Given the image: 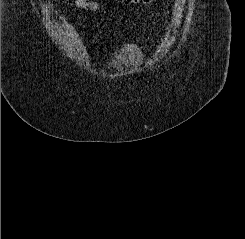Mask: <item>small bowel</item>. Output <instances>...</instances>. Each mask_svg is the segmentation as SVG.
I'll list each match as a JSON object with an SVG mask.
<instances>
[{"mask_svg":"<svg viewBox=\"0 0 245 239\" xmlns=\"http://www.w3.org/2000/svg\"><path fill=\"white\" fill-rule=\"evenodd\" d=\"M73 3L78 9L97 10L100 8L96 0H74Z\"/></svg>","mask_w":245,"mask_h":239,"instance_id":"c3829d8e","label":"small bowel"}]
</instances>
